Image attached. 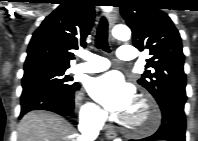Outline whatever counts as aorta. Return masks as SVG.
<instances>
[{
    "mask_svg": "<svg viewBox=\"0 0 198 141\" xmlns=\"http://www.w3.org/2000/svg\"><path fill=\"white\" fill-rule=\"evenodd\" d=\"M112 35L118 40H128L131 36L130 29L125 25H116L112 30ZM114 141H122L120 138L115 139Z\"/></svg>",
    "mask_w": 198,
    "mask_h": 141,
    "instance_id": "762f6f07",
    "label": "aorta"
}]
</instances>
